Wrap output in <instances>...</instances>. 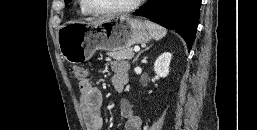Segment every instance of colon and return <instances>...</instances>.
Segmentation results:
<instances>
[{"mask_svg": "<svg viewBox=\"0 0 257 130\" xmlns=\"http://www.w3.org/2000/svg\"><path fill=\"white\" fill-rule=\"evenodd\" d=\"M69 70L71 72V74L78 80H83L86 78L87 76V70L80 66V65H77V64H71L69 66Z\"/></svg>", "mask_w": 257, "mask_h": 130, "instance_id": "1", "label": "colon"}]
</instances>
